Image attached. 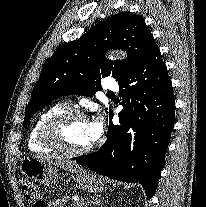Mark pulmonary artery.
<instances>
[{
  "label": "pulmonary artery",
  "mask_w": 206,
  "mask_h": 207,
  "mask_svg": "<svg viewBox=\"0 0 206 207\" xmlns=\"http://www.w3.org/2000/svg\"><path fill=\"white\" fill-rule=\"evenodd\" d=\"M106 87L112 91H117L118 90V86L116 83L114 82H110L106 85Z\"/></svg>",
  "instance_id": "1"
}]
</instances>
